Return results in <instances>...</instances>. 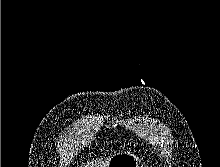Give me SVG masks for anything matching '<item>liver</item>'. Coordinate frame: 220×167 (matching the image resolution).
<instances>
[{"instance_id":"1","label":"liver","mask_w":220,"mask_h":167,"mask_svg":"<svg viewBox=\"0 0 220 167\" xmlns=\"http://www.w3.org/2000/svg\"><path fill=\"white\" fill-rule=\"evenodd\" d=\"M109 161L110 158H106V159L101 158L94 162H87L86 165H84V167H107ZM81 167H83V165Z\"/></svg>"}]
</instances>
